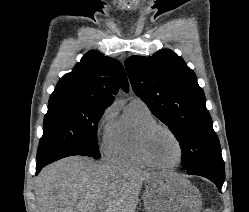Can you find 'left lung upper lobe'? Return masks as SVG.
I'll use <instances>...</instances> for the list:
<instances>
[{"label":"left lung upper lobe","instance_id":"1","mask_svg":"<svg viewBox=\"0 0 249 212\" xmlns=\"http://www.w3.org/2000/svg\"><path fill=\"white\" fill-rule=\"evenodd\" d=\"M125 67L136 95L178 140L184 170L223 160L204 92L181 57L166 49L131 56Z\"/></svg>","mask_w":249,"mask_h":212}]
</instances>
